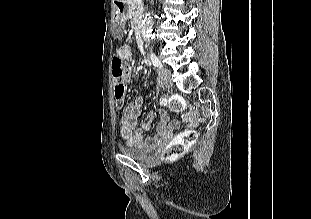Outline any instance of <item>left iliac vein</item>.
Segmentation results:
<instances>
[{"label":"left iliac vein","mask_w":311,"mask_h":219,"mask_svg":"<svg viewBox=\"0 0 311 219\" xmlns=\"http://www.w3.org/2000/svg\"><path fill=\"white\" fill-rule=\"evenodd\" d=\"M157 72L162 85L165 87H171L173 85L171 71L169 69L160 67Z\"/></svg>","instance_id":"1"}]
</instances>
